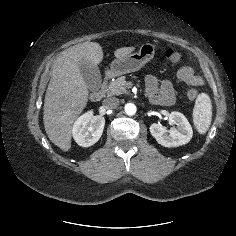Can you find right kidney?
<instances>
[{
    "mask_svg": "<svg viewBox=\"0 0 236 236\" xmlns=\"http://www.w3.org/2000/svg\"><path fill=\"white\" fill-rule=\"evenodd\" d=\"M104 125V117L101 115L94 116L93 111L90 110L75 121L72 128L74 140L79 146H92L100 139Z\"/></svg>",
    "mask_w": 236,
    "mask_h": 236,
    "instance_id": "obj_1",
    "label": "right kidney"
}]
</instances>
